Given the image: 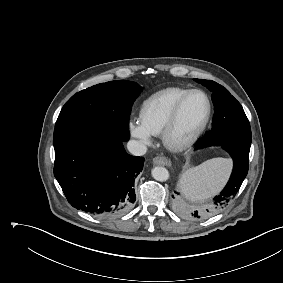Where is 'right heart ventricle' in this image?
Masks as SVG:
<instances>
[{"mask_svg": "<svg viewBox=\"0 0 283 283\" xmlns=\"http://www.w3.org/2000/svg\"><path fill=\"white\" fill-rule=\"evenodd\" d=\"M189 89L170 87L148 97L140 110V122L151 135L161 134L178 99Z\"/></svg>", "mask_w": 283, "mask_h": 283, "instance_id": "right-heart-ventricle-1", "label": "right heart ventricle"}]
</instances>
